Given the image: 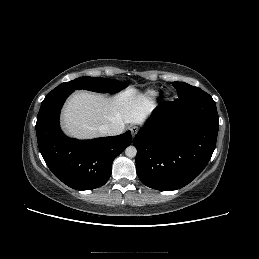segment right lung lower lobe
<instances>
[{
    "label": "right lung lower lobe",
    "mask_w": 259,
    "mask_h": 259,
    "mask_svg": "<svg viewBox=\"0 0 259 259\" xmlns=\"http://www.w3.org/2000/svg\"><path fill=\"white\" fill-rule=\"evenodd\" d=\"M73 91L46 96L37 115L39 150L52 173L76 190H91L104 185L112 172L113 160L132 142L131 132L76 140L66 137L59 126V115Z\"/></svg>",
    "instance_id": "98d812e1"
}]
</instances>
